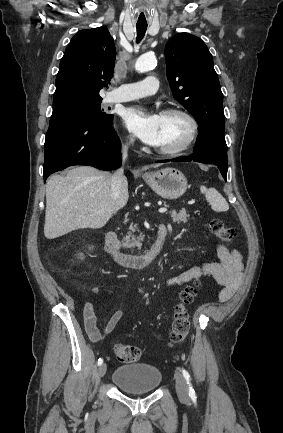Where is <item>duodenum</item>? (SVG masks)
Here are the masks:
<instances>
[{"mask_svg": "<svg viewBox=\"0 0 283 433\" xmlns=\"http://www.w3.org/2000/svg\"><path fill=\"white\" fill-rule=\"evenodd\" d=\"M168 233L163 224L157 228V235L150 248L140 255L126 254L121 251L119 238L116 232L110 231L105 237L104 250L112 256L115 262L127 268L142 269L148 266L161 250L164 239Z\"/></svg>", "mask_w": 283, "mask_h": 433, "instance_id": "410a0bca", "label": "duodenum"}]
</instances>
